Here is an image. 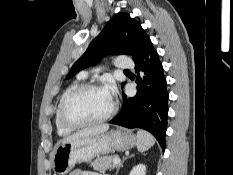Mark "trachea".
I'll return each mask as SVG.
<instances>
[{"label":"trachea","mask_w":233,"mask_h":175,"mask_svg":"<svg viewBox=\"0 0 233 175\" xmlns=\"http://www.w3.org/2000/svg\"><path fill=\"white\" fill-rule=\"evenodd\" d=\"M124 71H125V72H128L129 70L126 69V70H124Z\"/></svg>","instance_id":"1"}]
</instances>
